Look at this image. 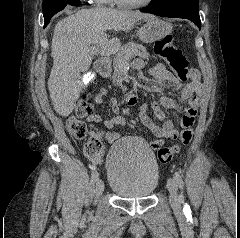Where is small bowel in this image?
Here are the masks:
<instances>
[{"mask_svg": "<svg viewBox=\"0 0 240 238\" xmlns=\"http://www.w3.org/2000/svg\"><path fill=\"white\" fill-rule=\"evenodd\" d=\"M136 69L143 67V62L137 60L134 62ZM154 80L161 86L172 87L180 93V100L187 103L185 114L180 120V126L185 128L192 126L195 122L199 98L198 96L202 92L200 74L197 70L192 69L190 73V82L183 84L177 79L164 64L158 63L149 70ZM107 94L106 89H101L99 94L95 97V102L101 104L103 97ZM179 101L171 99L169 97H161L159 101H153L151 107L153 109V116L149 114V108L147 104H142L139 108V117L142 123L154 134L157 139L151 143L152 148H159L167 138H176L178 131L175 128L173 122L166 119V115L163 108L179 110L181 104ZM111 109L114 112V117L105 118L100 114H88L87 120L92 123H103L106 128L105 138L108 143H113L119 140V133L115 132L116 127L123 126L125 121L120 115V105L115 98L110 99ZM154 118L162 121V125L159 126L155 123ZM105 145L108 146L109 144ZM107 153V148H102V153L99 155L98 160L102 161ZM102 164V163H101Z\"/></svg>", "mask_w": 240, "mask_h": 238, "instance_id": "obj_1", "label": "small bowel"}]
</instances>
